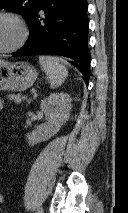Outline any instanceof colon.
I'll return each mask as SVG.
<instances>
[{"label":"colon","instance_id":"1","mask_svg":"<svg viewBox=\"0 0 128 213\" xmlns=\"http://www.w3.org/2000/svg\"><path fill=\"white\" fill-rule=\"evenodd\" d=\"M3 199H4V197H3L2 193L0 192V204L3 202Z\"/></svg>","mask_w":128,"mask_h":213}]
</instances>
